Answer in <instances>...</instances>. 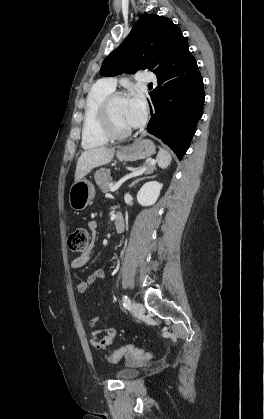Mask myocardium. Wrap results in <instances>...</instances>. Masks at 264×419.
<instances>
[{
  "mask_svg": "<svg viewBox=\"0 0 264 419\" xmlns=\"http://www.w3.org/2000/svg\"><path fill=\"white\" fill-rule=\"evenodd\" d=\"M118 98H124L122 92H111L108 94L100 104L99 118L103 132L109 139H123L131 135L132 129H119L112 117V105Z\"/></svg>",
  "mask_w": 264,
  "mask_h": 419,
  "instance_id": "obj_1",
  "label": "myocardium"
}]
</instances>
